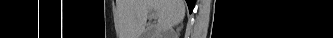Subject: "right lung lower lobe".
<instances>
[{"label": "right lung lower lobe", "mask_w": 333, "mask_h": 38, "mask_svg": "<svg viewBox=\"0 0 333 38\" xmlns=\"http://www.w3.org/2000/svg\"><path fill=\"white\" fill-rule=\"evenodd\" d=\"M187 1V4H188V7H189V10L190 12L192 11L193 7H194V0H186Z\"/></svg>", "instance_id": "1"}]
</instances>
